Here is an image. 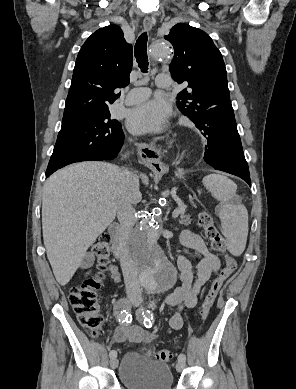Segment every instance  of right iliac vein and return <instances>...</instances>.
Returning a JSON list of instances; mask_svg holds the SVG:
<instances>
[{
    "label": "right iliac vein",
    "instance_id": "1",
    "mask_svg": "<svg viewBox=\"0 0 296 389\" xmlns=\"http://www.w3.org/2000/svg\"><path fill=\"white\" fill-rule=\"evenodd\" d=\"M110 366L115 369L118 366V360L116 357H111L110 359Z\"/></svg>",
    "mask_w": 296,
    "mask_h": 389
}]
</instances>
